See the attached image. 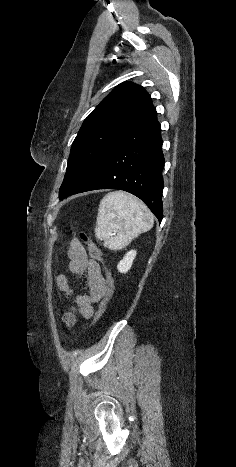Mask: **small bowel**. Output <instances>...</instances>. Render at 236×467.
I'll use <instances>...</instances> for the list:
<instances>
[{
  "mask_svg": "<svg viewBox=\"0 0 236 467\" xmlns=\"http://www.w3.org/2000/svg\"><path fill=\"white\" fill-rule=\"evenodd\" d=\"M68 257L69 271L76 276L86 275V283L89 288L88 294H75L66 275L60 274L57 277L58 288L72 302L69 310L63 315V321L67 325H72L75 323L76 313L86 319L93 316L94 305L107 294V285L99 263L87 255L84 247L78 241H71Z\"/></svg>",
  "mask_w": 236,
  "mask_h": 467,
  "instance_id": "small-bowel-1",
  "label": "small bowel"
}]
</instances>
